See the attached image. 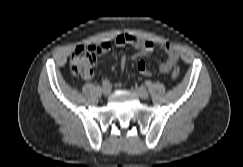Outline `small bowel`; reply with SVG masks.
<instances>
[{
  "mask_svg": "<svg viewBox=\"0 0 243 167\" xmlns=\"http://www.w3.org/2000/svg\"><path fill=\"white\" fill-rule=\"evenodd\" d=\"M114 43L117 46L128 44L137 49V52L132 56V59L137 60V69L139 73L144 76H149L151 72L147 68L146 63L142 60V58L145 57L148 53L152 52L154 49L160 48L166 53L167 56L166 60L159 67V70L162 73H168L172 69V67L176 64L179 57L178 51L171 44L167 42L157 43L149 39H143L137 37L130 33L119 34L118 36H116ZM111 46L112 45L110 42H101L96 46L97 53L100 56H102L107 52H109ZM125 64H126V56L122 55L120 57V65L122 70H124ZM85 78L87 79L92 78V74H90Z\"/></svg>",
  "mask_w": 243,
  "mask_h": 167,
  "instance_id": "small-bowel-1",
  "label": "small bowel"
}]
</instances>
